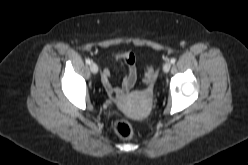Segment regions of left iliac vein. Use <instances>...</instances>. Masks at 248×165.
<instances>
[{
	"mask_svg": "<svg viewBox=\"0 0 248 165\" xmlns=\"http://www.w3.org/2000/svg\"><path fill=\"white\" fill-rule=\"evenodd\" d=\"M170 68H171V64H170L169 62H167V63H165L164 66H163V71H164L165 73H167V72H169Z\"/></svg>",
	"mask_w": 248,
	"mask_h": 165,
	"instance_id": "1",
	"label": "left iliac vein"
}]
</instances>
